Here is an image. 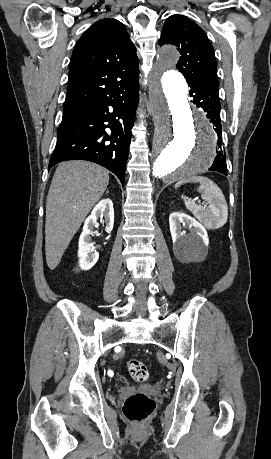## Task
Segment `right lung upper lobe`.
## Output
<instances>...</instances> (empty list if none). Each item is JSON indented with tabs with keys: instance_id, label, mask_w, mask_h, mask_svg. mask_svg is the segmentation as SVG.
Masks as SVG:
<instances>
[{
	"instance_id": "right-lung-upper-lobe-1",
	"label": "right lung upper lobe",
	"mask_w": 271,
	"mask_h": 459,
	"mask_svg": "<svg viewBox=\"0 0 271 459\" xmlns=\"http://www.w3.org/2000/svg\"><path fill=\"white\" fill-rule=\"evenodd\" d=\"M138 64L126 27L116 19L97 21L73 50L64 113L138 77Z\"/></svg>"
}]
</instances>
